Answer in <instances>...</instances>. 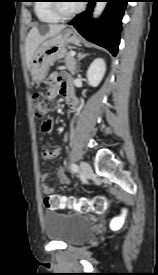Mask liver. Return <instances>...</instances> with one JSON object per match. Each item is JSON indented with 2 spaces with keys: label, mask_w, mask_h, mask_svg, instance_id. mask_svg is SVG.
I'll use <instances>...</instances> for the list:
<instances>
[{
  "label": "liver",
  "mask_w": 158,
  "mask_h": 275,
  "mask_svg": "<svg viewBox=\"0 0 158 275\" xmlns=\"http://www.w3.org/2000/svg\"><path fill=\"white\" fill-rule=\"evenodd\" d=\"M65 25L51 24L48 26L33 27L27 35L26 39V61L30 68L32 58L38 47L48 38L60 33Z\"/></svg>",
  "instance_id": "liver-1"
}]
</instances>
